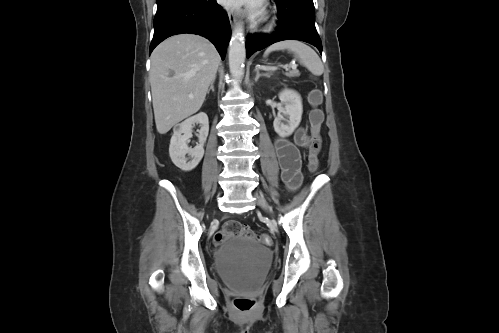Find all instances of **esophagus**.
Returning <instances> with one entry per match:
<instances>
[{"label": "esophagus", "instance_id": "obj_1", "mask_svg": "<svg viewBox=\"0 0 499 333\" xmlns=\"http://www.w3.org/2000/svg\"><path fill=\"white\" fill-rule=\"evenodd\" d=\"M228 17H229V21H230V24H231V27L234 28L237 24V15L235 12L233 11H230L228 13Z\"/></svg>", "mask_w": 499, "mask_h": 333}]
</instances>
